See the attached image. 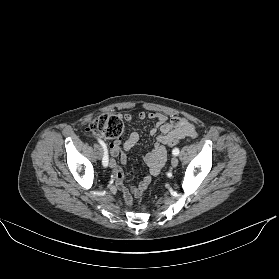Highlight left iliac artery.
Listing matches in <instances>:
<instances>
[{
    "instance_id": "1",
    "label": "left iliac artery",
    "mask_w": 279,
    "mask_h": 279,
    "mask_svg": "<svg viewBox=\"0 0 279 279\" xmlns=\"http://www.w3.org/2000/svg\"><path fill=\"white\" fill-rule=\"evenodd\" d=\"M172 154L177 156L179 154V149L178 148L173 149Z\"/></svg>"
}]
</instances>
